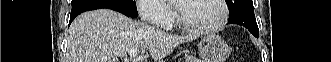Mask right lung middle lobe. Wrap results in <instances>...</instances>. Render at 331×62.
I'll return each instance as SVG.
<instances>
[{"label": "right lung middle lobe", "mask_w": 331, "mask_h": 62, "mask_svg": "<svg viewBox=\"0 0 331 62\" xmlns=\"http://www.w3.org/2000/svg\"><path fill=\"white\" fill-rule=\"evenodd\" d=\"M99 8L119 10L132 18L138 16L135 0H72L71 13Z\"/></svg>", "instance_id": "obj_1"}]
</instances>
